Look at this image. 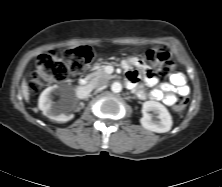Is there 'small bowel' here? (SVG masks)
<instances>
[{"mask_svg":"<svg viewBox=\"0 0 222 187\" xmlns=\"http://www.w3.org/2000/svg\"><path fill=\"white\" fill-rule=\"evenodd\" d=\"M126 78L131 84L137 85L138 75L131 64L128 65ZM144 82L148 86H154L158 83V79L150 73H145ZM188 93L189 87L186 83V78L182 73L173 74L171 82L160 84L158 89L150 92L139 90V96L141 98L161 101L169 106L175 104L178 95H187Z\"/></svg>","mask_w":222,"mask_h":187,"instance_id":"small-bowel-1","label":"small bowel"}]
</instances>
